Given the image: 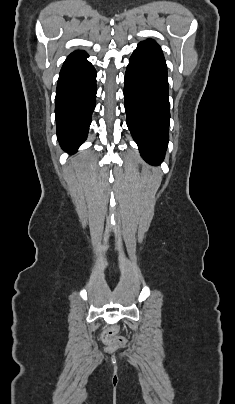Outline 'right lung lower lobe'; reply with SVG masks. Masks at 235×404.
Wrapping results in <instances>:
<instances>
[{"label":"right lung lower lobe","mask_w":235,"mask_h":404,"mask_svg":"<svg viewBox=\"0 0 235 404\" xmlns=\"http://www.w3.org/2000/svg\"><path fill=\"white\" fill-rule=\"evenodd\" d=\"M88 56L68 57L60 71L55 114L61 147L73 153L85 141L96 102V71Z\"/></svg>","instance_id":"98d812e1"}]
</instances>
